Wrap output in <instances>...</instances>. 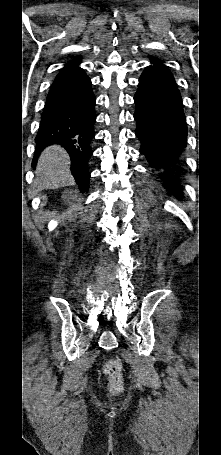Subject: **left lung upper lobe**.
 Segmentation results:
<instances>
[{"label":"left lung upper lobe","instance_id":"5c2ea615","mask_svg":"<svg viewBox=\"0 0 221 455\" xmlns=\"http://www.w3.org/2000/svg\"><path fill=\"white\" fill-rule=\"evenodd\" d=\"M151 61H152V62H156V61H157V59H155V58H151Z\"/></svg>","mask_w":221,"mask_h":455}]
</instances>
